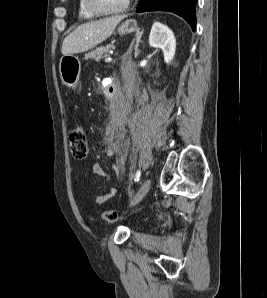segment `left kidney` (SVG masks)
<instances>
[{
  "instance_id": "1",
  "label": "left kidney",
  "mask_w": 267,
  "mask_h": 298,
  "mask_svg": "<svg viewBox=\"0 0 267 298\" xmlns=\"http://www.w3.org/2000/svg\"><path fill=\"white\" fill-rule=\"evenodd\" d=\"M149 44L154 48L162 49L165 63H171L176 51V39L172 30L160 22L154 23L149 36Z\"/></svg>"
}]
</instances>
